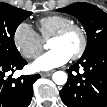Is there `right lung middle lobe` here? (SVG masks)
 <instances>
[{
	"mask_svg": "<svg viewBox=\"0 0 107 107\" xmlns=\"http://www.w3.org/2000/svg\"><path fill=\"white\" fill-rule=\"evenodd\" d=\"M31 15V12L0 3V58L14 60L21 57L14 43V33L18 25Z\"/></svg>",
	"mask_w": 107,
	"mask_h": 107,
	"instance_id": "dd1d6c3e",
	"label": "right lung middle lobe"
}]
</instances>
